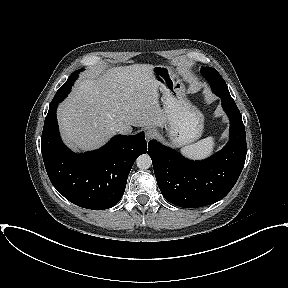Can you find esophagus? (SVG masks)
Instances as JSON below:
<instances>
[{
    "mask_svg": "<svg viewBox=\"0 0 288 288\" xmlns=\"http://www.w3.org/2000/svg\"><path fill=\"white\" fill-rule=\"evenodd\" d=\"M156 135V132L152 128H148L145 131V138L147 141L151 140Z\"/></svg>",
    "mask_w": 288,
    "mask_h": 288,
    "instance_id": "esophagus-1",
    "label": "esophagus"
}]
</instances>
